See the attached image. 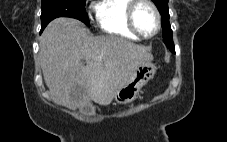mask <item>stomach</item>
I'll return each mask as SVG.
<instances>
[{
  "instance_id": "stomach-1",
  "label": "stomach",
  "mask_w": 227,
  "mask_h": 142,
  "mask_svg": "<svg viewBox=\"0 0 227 142\" xmlns=\"http://www.w3.org/2000/svg\"><path fill=\"white\" fill-rule=\"evenodd\" d=\"M156 68L151 63H144L137 68L129 81L115 94L117 104H129L135 98L140 89L153 78Z\"/></svg>"
}]
</instances>
